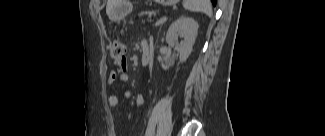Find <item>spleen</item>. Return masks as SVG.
I'll return each instance as SVG.
<instances>
[{"label":"spleen","instance_id":"spleen-1","mask_svg":"<svg viewBox=\"0 0 325 136\" xmlns=\"http://www.w3.org/2000/svg\"><path fill=\"white\" fill-rule=\"evenodd\" d=\"M183 7L192 12H202L212 15V6L209 0H184Z\"/></svg>","mask_w":325,"mask_h":136}]
</instances>
